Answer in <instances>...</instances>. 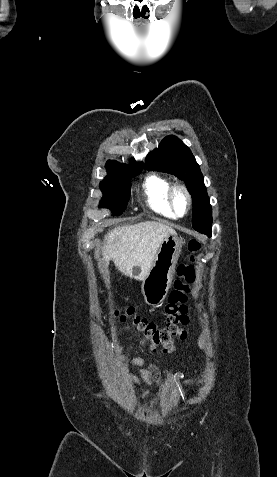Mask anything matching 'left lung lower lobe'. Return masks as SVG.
Wrapping results in <instances>:
<instances>
[{"label": "left lung lower lobe", "mask_w": 277, "mask_h": 477, "mask_svg": "<svg viewBox=\"0 0 277 477\" xmlns=\"http://www.w3.org/2000/svg\"><path fill=\"white\" fill-rule=\"evenodd\" d=\"M211 228H212V225L208 226V227H205V228H201L197 231L201 232V233H205L206 235L208 236H211Z\"/></svg>", "instance_id": "0a47b994"}]
</instances>
